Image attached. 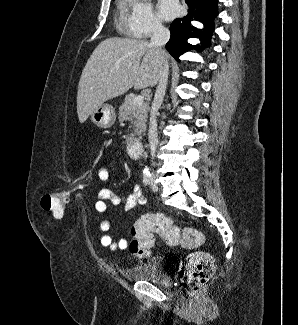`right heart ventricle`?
<instances>
[{"mask_svg":"<svg viewBox=\"0 0 298 325\" xmlns=\"http://www.w3.org/2000/svg\"><path fill=\"white\" fill-rule=\"evenodd\" d=\"M117 10H118L119 23L120 24L127 23L129 18L127 14L128 12L127 1H120L118 3ZM122 37H126V36H122Z\"/></svg>","mask_w":298,"mask_h":325,"instance_id":"right-heart-ventricle-1","label":"right heart ventricle"}]
</instances>
